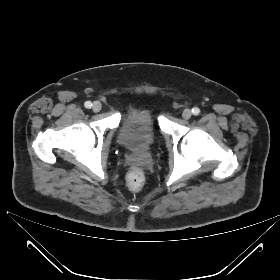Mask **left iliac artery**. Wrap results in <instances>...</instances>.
<instances>
[{
	"label": "left iliac artery",
	"mask_w": 280,
	"mask_h": 280,
	"mask_svg": "<svg viewBox=\"0 0 280 280\" xmlns=\"http://www.w3.org/2000/svg\"><path fill=\"white\" fill-rule=\"evenodd\" d=\"M192 113H193V115H198V114L200 113V109L197 108V107H194V108L192 109Z\"/></svg>",
	"instance_id": "left-iliac-artery-1"
}]
</instances>
